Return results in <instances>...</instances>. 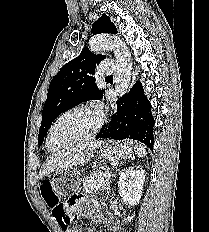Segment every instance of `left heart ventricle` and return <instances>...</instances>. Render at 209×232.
<instances>
[{
	"mask_svg": "<svg viewBox=\"0 0 209 232\" xmlns=\"http://www.w3.org/2000/svg\"><path fill=\"white\" fill-rule=\"evenodd\" d=\"M96 117L90 113L77 111L65 116L54 128L50 147L56 149L69 138L85 133L93 127Z\"/></svg>",
	"mask_w": 209,
	"mask_h": 232,
	"instance_id": "obj_1",
	"label": "left heart ventricle"
}]
</instances>
